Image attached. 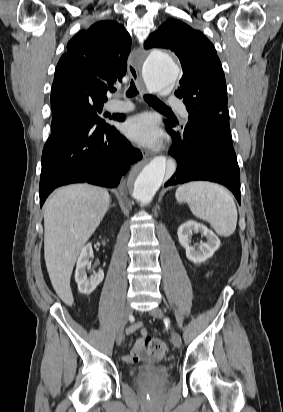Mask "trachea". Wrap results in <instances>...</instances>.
I'll use <instances>...</instances> for the list:
<instances>
[{
  "mask_svg": "<svg viewBox=\"0 0 283 412\" xmlns=\"http://www.w3.org/2000/svg\"><path fill=\"white\" fill-rule=\"evenodd\" d=\"M113 91H115V89ZM136 94H137V88H136L134 82L131 81L130 87H129L128 91L126 92V96L127 97H133ZM144 99L148 104L154 105V106H156L158 108H161V109H164V110L171 111V109L169 107H167L158 98H156L153 95H150V94L144 95Z\"/></svg>",
  "mask_w": 283,
  "mask_h": 412,
  "instance_id": "3493384b",
  "label": "trachea"
}]
</instances>
